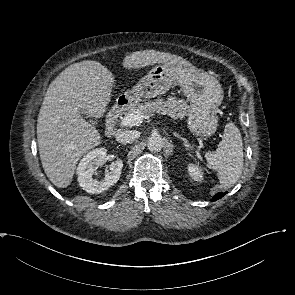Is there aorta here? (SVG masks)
I'll return each instance as SVG.
<instances>
[{
  "label": "aorta",
  "instance_id": "aorta-1",
  "mask_svg": "<svg viewBox=\"0 0 295 295\" xmlns=\"http://www.w3.org/2000/svg\"><path fill=\"white\" fill-rule=\"evenodd\" d=\"M147 147L150 151H160L163 147L161 136L158 134H152L147 140Z\"/></svg>",
  "mask_w": 295,
  "mask_h": 295
}]
</instances>
